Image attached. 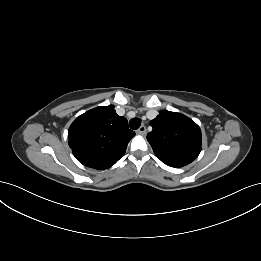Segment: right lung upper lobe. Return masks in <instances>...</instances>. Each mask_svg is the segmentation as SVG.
<instances>
[{"instance_id": "obj_1", "label": "right lung upper lobe", "mask_w": 261, "mask_h": 261, "mask_svg": "<svg viewBox=\"0 0 261 261\" xmlns=\"http://www.w3.org/2000/svg\"><path fill=\"white\" fill-rule=\"evenodd\" d=\"M135 132L118 116L113 105L100 106L75 119L68 130L69 146L83 165L103 170L124 154Z\"/></svg>"}]
</instances>
